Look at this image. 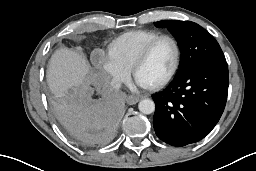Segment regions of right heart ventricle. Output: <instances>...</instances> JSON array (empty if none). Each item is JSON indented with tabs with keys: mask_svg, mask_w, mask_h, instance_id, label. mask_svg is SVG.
Returning <instances> with one entry per match:
<instances>
[{
	"mask_svg": "<svg viewBox=\"0 0 256 171\" xmlns=\"http://www.w3.org/2000/svg\"><path fill=\"white\" fill-rule=\"evenodd\" d=\"M159 35V32L151 30L126 32L109 44L107 53L120 65L129 70L142 49Z\"/></svg>",
	"mask_w": 256,
	"mask_h": 171,
	"instance_id": "obj_1",
	"label": "right heart ventricle"
}]
</instances>
